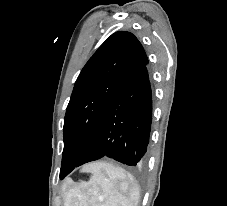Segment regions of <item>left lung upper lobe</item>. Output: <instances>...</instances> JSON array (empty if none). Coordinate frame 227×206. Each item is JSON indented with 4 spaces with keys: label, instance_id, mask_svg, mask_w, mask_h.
I'll list each match as a JSON object with an SVG mask.
<instances>
[{
    "label": "left lung upper lobe",
    "instance_id": "1",
    "mask_svg": "<svg viewBox=\"0 0 227 206\" xmlns=\"http://www.w3.org/2000/svg\"><path fill=\"white\" fill-rule=\"evenodd\" d=\"M147 64L141 43L130 32H115L97 49L81 70L67 106L60 172L82 159L112 99ZM84 136L89 137L87 144L82 142Z\"/></svg>",
    "mask_w": 227,
    "mask_h": 206
}]
</instances>
